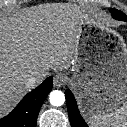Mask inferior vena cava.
Returning a JSON list of instances; mask_svg holds the SVG:
<instances>
[{
    "label": "inferior vena cava",
    "instance_id": "1",
    "mask_svg": "<svg viewBox=\"0 0 127 127\" xmlns=\"http://www.w3.org/2000/svg\"><path fill=\"white\" fill-rule=\"evenodd\" d=\"M47 76L46 73H39L35 76H31L28 81H27V87L28 88H34L36 86V83L40 80V79H44Z\"/></svg>",
    "mask_w": 127,
    "mask_h": 127
}]
</instances>
